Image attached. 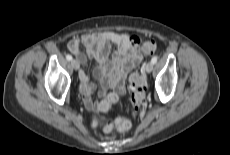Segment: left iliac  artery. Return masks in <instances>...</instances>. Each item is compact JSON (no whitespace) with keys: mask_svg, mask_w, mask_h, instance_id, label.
<instances>
[{"mask_svg":"<svg viewBox=\"0 0 230 155\" xmlns=\"http://www.w3.org/2000/svg\"><path fill=\"white\" fill-rule=\"evenodd\" d=\"M157 60H158L157 56H154V57L151 59V62H152L153 64H155V63L157 62Z\"/></svg>","mask_w":230,"mask_h":155,"instance_id":"left-iliac-artery-1","label":"left iliac artery"}]
</instances>
